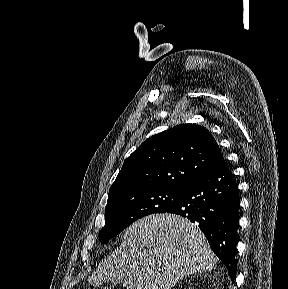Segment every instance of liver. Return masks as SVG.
<instances>
[{
    "label": "liver",
    "mask_w": 288,
    "mask_h": 289,
    "mask_svg": "<svg viewBox=\"0 0 288 289\" xmlns=\"http://www.w3.org/2000/svg\"><path fill=\"white\" fill-rule=\"evenodd\" d=\"M216 262L196 224L175 214H153L129 226L120 247L87 280L100 286L121 272L126 289H172L190 274L212 270Z\"/></svg>",
    "instance_id": "liver-1"
}]
</instances>
